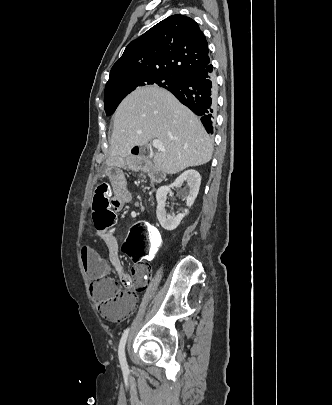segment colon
<instances>
[{"mask_svg":"<svg viewBox=\"0 0 332 405\" xmlns=\"http://www.w3.org/2000/svg\"><path fill=\"white\" fill-rule=\"evenodd\" d=\"M111 197L112 187L109 183H102L95 189L92 219L95 229L102 234L110 233L115 222L116 215L110 205ZM152 228L154 229L153 225L148 221H138L132 224L129 239L123 251L124 256H137L133 258V261H138V265H141L137 274V281L140 283L144 282V276L149 267L148 263L153 262L152 256L156 255V251H159L162 244L159 231H152ZM126 286L128 289L122 290L120 283L108 276L100 277L93 282L92 296L104 316L114 318L125 312L130 298L135 291L139 290L133 289L131 285Z\"/></svg>","mask_w":332,"mask_h":405,"instance_id":"obj_1","label":"colon"}]
</instances>
